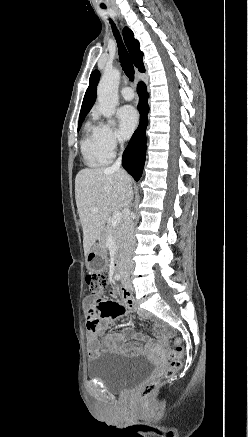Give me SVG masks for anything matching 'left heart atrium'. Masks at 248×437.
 <instances>
[{
  "label": "left heart atrium",
  "mask_w": 248,
  "mask_h": 437,
  "mask_svg": "<svg viewBox=\"0 0 248 437\" xmlns=\"http://www.w3.org/2000/svg\"><path fill=\"white\" fill-rule=\"evenodd\" d=\"M117 115L121 136L124 138L130 137L138 122L135 109L132 106L126 105L119 109Z\"/></svg>",
  "instance_id": "1"
}]
</instances>
